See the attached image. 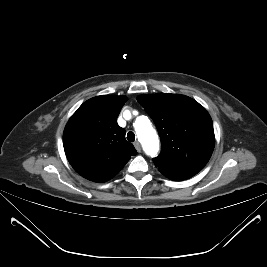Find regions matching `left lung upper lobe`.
<instances>
[{"mask_svg":"<svg viewBox=\"0 0 267 267\" xmlns=\"http://www.w3.org/2000/svg\"><path fill=\"white\" fill-rule=\"evenodd\" d=\"M154 121L161 153L153 161L159 171L189 179L209 161L215 144L213 122L194 99L170 93L137 98Z\"/></svg>","mask_w":267,"mask_h":267,"instance_id":"left-lung-upper-lobe-1","label":"left lung upper lobe"}]
</instances>
